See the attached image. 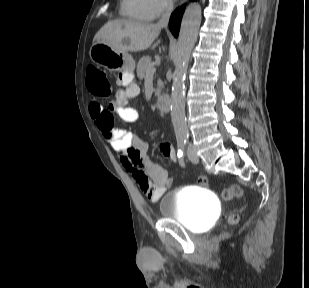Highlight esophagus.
<instances>
[{
	"label": "esophagus",
	"instance_id": "esophagus-1",
	"mask_svg": "<svg viewBox=\"0 0 309 288\" xmlns=\"http://www.w3.org/2000/svg\"><path fill=\"white\" fill-rule=\"evenodd\" d=\"M186 0H183L182 4L185 2Z\"/></svg>",
	"mask_w": 309,
	"mask_h": 288
}]
</instances>
